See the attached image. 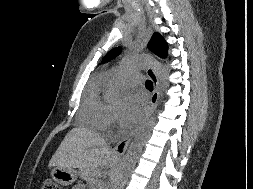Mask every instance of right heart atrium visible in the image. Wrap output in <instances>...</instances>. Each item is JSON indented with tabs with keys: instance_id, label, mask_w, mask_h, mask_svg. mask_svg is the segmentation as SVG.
I'll return each instance as SVG.
<instances>
[{
	"instance_id": "right-heart-atrium-1",
	"label": "right heart atrium",
	"mask_w": 253,
	"mask_h": 189,
	"mask_svg": "<svg viewBox=\"0 0 253 189\" xmlns=\"http://www.w3.org/2000/svg\"><path fill=\"white\" fill-rule=\"evenodd\" d=\"M116 121H117V117L115 115L111 114L110 123L114 124Z\"/></svg>"
}]
</instances>
